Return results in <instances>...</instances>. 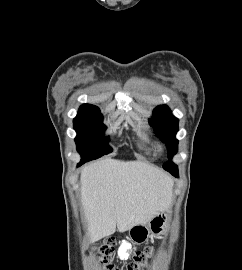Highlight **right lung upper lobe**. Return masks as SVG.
Returning <instances> with one entry per match:
<instances>
[{"mask_svg": "<svg viewBox=\"0 0 242 270\" xmlns=\"http://www.w3.org/2000/svg\"><path fill=\"white\" fill-rule=\"evenodd\" d=\"M96 112H100L99 108L91 104H83L79 108L78 115H90Z\"/></svg>", "mask_w": 242, "mask_h": 270, "instance_id": "cb5924a9", "label": "right lung upper lobe"}]
</instances>
